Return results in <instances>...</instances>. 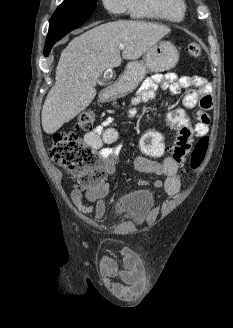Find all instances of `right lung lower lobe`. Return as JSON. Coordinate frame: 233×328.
I'll use <instances>...</instances> for the list:
<instances>
[{
	"instance_id": "right-lung-lower-lobe-1",
	"label": "right lung lower lobe",
	"mask_w": 233,
	"mask_h": 328,
	"mask_svg": "<svg viewBox=\"0 0 233 328\" xmlns=\"http://www.w3.org/2000/svg\"><path fill=\"white\" fill-rule=\"evenodd\" d=\"M88 18H57L51 19L49 33L47 36L44 55L48 56L55 42L64 37L67 33L82 25Z\"/></svg>"
}]
</instances>
